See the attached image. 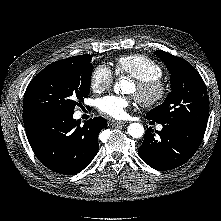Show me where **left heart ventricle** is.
Returning <instances> with one entry per match:
<instances>
[{"instance_id":"left-heart-ventricle-1","label":"left heart ventricle","mask_w":221,"mask_h":221,"mask_svg":"<svg viewBox=\"0 0 221 221\" xmlns=\"http://www.w3.org/2000/svg\"><path fill=\"white\" fill-rule=\"evenodd\" d=\"M136 91H137V88H136V86H134L131 92L136 93Z\"/></svg>"}]
</instances>
